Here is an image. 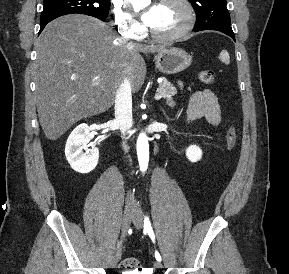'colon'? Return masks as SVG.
I'll list each match as a JSON object with an SVG mask.
<instances>
[{"mask_svg":"<svg viewBox=\"0 0 289 274\" xmlns=\"http://www.w3.org/2000/svg\"><path fill=\"white\" fill-rule=\"evenodd\" d=\"M199 79L202 83L210 85L215 81V74L210 69H203L199 72ZM237 142L236 131L233 126H230L226 132V144L229 150H233ZM121 267L125 271H141L147 273V270L141 268V264L138 259L134 257L125 258L122 261Z\"/></svg>","mask_w":289,"mask_h":274,"instance_id":"obj_1","label":"colon"}]
</instances>
